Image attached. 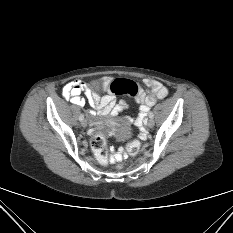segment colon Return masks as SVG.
Instances as JSON below:
<instances>
[{
	"label": "colon",
	"instance_id": "5ec220e1",
	"mask_svg": "<svg viewBox=\"0 0 233 233\" xmlns=\"http://www.w3.org/2000/svg\"><path fill=\"white\" fill-rule=\"evenodd\" d=\"M139 87L136 82L130 79H115L110 84V92L115 95H129L135 97L138 93ZM99 127L97 126L96 129ZM90 145L92 151L101 164L108 162V151L104 137L96 131L91 139ZM141 144L139 141L134 140L127 145V152L130 155H135L140 151Z\"/></svg>",
	"mask_w": 233,
	"mask_h": 233
}]
</instances>
